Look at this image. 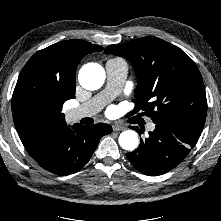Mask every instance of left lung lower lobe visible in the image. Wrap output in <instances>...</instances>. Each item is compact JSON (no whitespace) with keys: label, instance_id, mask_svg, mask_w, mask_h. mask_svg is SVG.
Segmentation results:
<instances>
[{"label":"left lung lower lobe","instance_id":"0a47b994","mask_svg":"<svg viewBox=\"0 0 221 221\" xmlns=\"http://www.w3.org/2000/svg\"><path fill=\"white\" fill-rule=\"evenodd\" d=\"M155 124L149 137L141 139L139 147L126 155L138 171L148 176L165 174L179 165L196 145L203 130L201 126L185 122ZM132 128L142 132L138 127Z\"/></svg>","mask_w":221,"mask_h":221}]
</instances>
